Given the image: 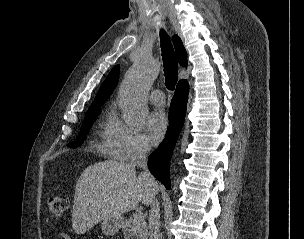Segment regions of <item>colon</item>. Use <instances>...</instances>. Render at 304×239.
<instances>
[{
	"instance_id": "colon-1",
	"label": "colon",
	"mask_w": 304,
	"mask_h": 239,
	"mask_svg": "<svg viewBox=\"0 0 304 239\" xmlns=\"http://www.w3.org/2000/svg\"><path fill=\"white\" fill-rule=\"evenodd\" d=\"M47 205L50 212L55 217L62 216L69 207V200L66 196L52 195L47 199Z\"/></svg>"
}]
</instances>
